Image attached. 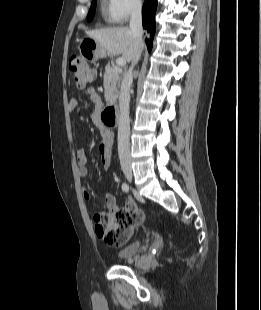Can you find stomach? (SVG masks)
Listing matches in <instances>:
<instances>
[{
  "instance_id": "stomach-1",
  "label": "stomach",
  "mask_w": 261,
  "mask_h": 310,
  "mask_svg": "<svg viewBox=\"0 0 261 310\" xmlns=\"http://www.w3.org/2000/svg\"><path fill=\"white\" fill-rule=\"evenodd\" d=\"M79 51L89 62H95L105 54L100 44L92 38L83 39L80 42Z\"/></svg>"
}]
</instances>
